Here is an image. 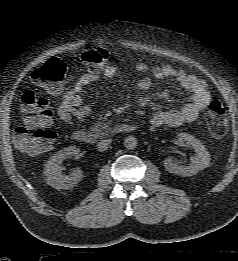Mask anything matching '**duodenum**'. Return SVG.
<instances>
[{
    "mask_svg": "<svg viewBox=\"0 0 238 261\" xmlns=\"http://www.w3.org/2000/svg\"><path fill=\"white\" fill-rule=\"evenodd\" d=\"M135 130V126L130 123H122L116 126H113L101 133L91 132L86 130H77L72 133V139L76 142L93 145L98 141L109 137L114 133H129Z\"/></svg>",
    "mask_w": 238,
    "mask_h": 261,
    "instance_id": "obj_1",
    "label": "duodenum"
}]
</instances>
